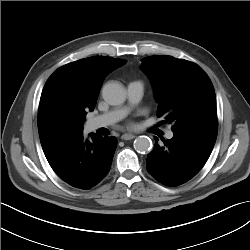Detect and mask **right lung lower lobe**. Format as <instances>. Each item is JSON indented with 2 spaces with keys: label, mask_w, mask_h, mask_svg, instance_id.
<instances>
[{
  "label": "right lung lower lobe",
  "mask_w": 250,
  "mask_h": 250,
  "mask_svg": "<svg viewBox=\"0 0 250 250\" xmlns=\"http://www.w3.org/2000/svg\"><path fill=\"white\" fill-rule=\"evenodd\" d=\"M83 132L65 138L43 150L54 172L72 187L89 190L109 172L117 145L114 136Z\"/></svg>",
  "instance_id": "obj_1"
}]
</instances>
